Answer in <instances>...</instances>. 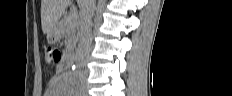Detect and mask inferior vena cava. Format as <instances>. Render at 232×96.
Returning a JSON list of instances; mask_svg holds the SVG:
<instances>
[{
  "mask_svg": "<svg viewBox=\"0 0 232 96\" xmlns=\"http://www.w3.org/2000/svg\"><path fill=\"white\" fill-rule=\"evenodd\" d=\"M95 0H81L80 4V39L78 45V55L85 60L91 51L92 31L91 19L94 15Z\"/></svg>",
  "mask_w": 232,
  "mask_h": 96,
  "instance_id": "inferior-vena-cava-1",
  "label": "inferior vena cava"
}]
</instances>
